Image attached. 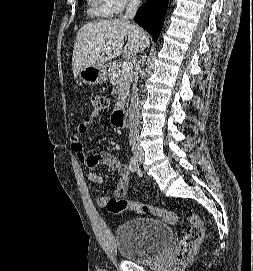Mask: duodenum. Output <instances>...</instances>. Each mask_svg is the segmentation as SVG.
<instances>
[{
	"instance_id": "410a0bca",
	"label": "duodenum",
	"mask_w": 253,
	"mask_h": 271,
	"mask_svg": "<svg viewBox=\"0 0 253 271\" xmlns=\"http://www.w3.org/2000/svg\"><path fill=\"white\" fill-rule=\"evenodd\" d=\"M112 121L118 128H122L126 125V111L124 108H117L112 115Z\"/></svg>"
}]
</instances>
